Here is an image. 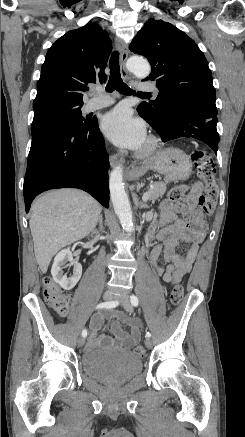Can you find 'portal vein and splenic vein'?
I'll return each instance as SVG.
<instances>
[{
    "label": "portal vein and splenic vein",
    "mask_w": 245,
    "mask_h": 437,
    "mask_svg": "<svg viewBox=\"0 0 245 437\" xmlns=\"http://www.w3.org/2000/svg\"><path fill=\"white\" fill-rule=\"evenodd\" d=\"M148 197H149V193H148V191H147V192H145V193L143 194V196H142L143 201H147V200H148Z\"/></svg>",
    "instance_id": "18ae733b"
}]
</instances>
